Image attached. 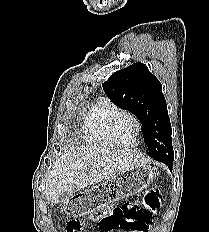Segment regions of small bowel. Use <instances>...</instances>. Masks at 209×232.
I'll list each match as a JSON object with an SVG mask.
<instances>
[{"label":"small bowel","mask_w":209,"mask_h":232,"mask_svg":"<svg viewBox=\"0 0 209 232\" xmlns=\"http://www.w3.org/2000/svg\"><path fill=\"white\" fill-rule=\"evenodd\" d=\"M117 228H114V229H102L104 231H114L116 230ZM124 230H131V229H125V228H122ZM148 229V226H144V227H141V228H136V230H140V231H145Z\"/></svg>","instance_id":"c3829d8e"}]
</instances>
